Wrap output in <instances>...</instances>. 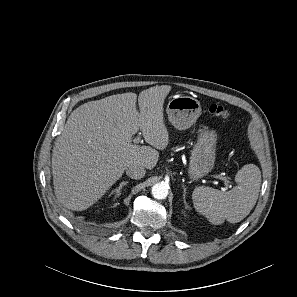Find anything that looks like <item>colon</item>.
<instances>
[{
  "mask_svg": "<svg viewBox=\"0 0 297 297\" xmlns=\"http://www.w3.org/2000/svg\"><path fill=\"white\" fill-rule=\"evenodd\" d=\"M209 113L220 118H228L229 113L220 105L211 104L208 107Z\"/></svg>",
  "mask_w": 297,
  "mask_h": 297,
  "instance_id": "colon-1",
  "label": "colon"
}]
</instances>
